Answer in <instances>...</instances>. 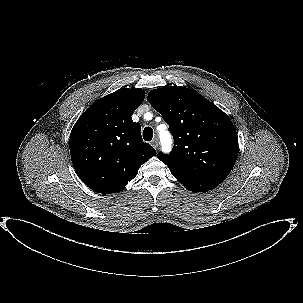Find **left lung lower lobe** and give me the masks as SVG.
Wrapping results in <instances>:
<instances>
[{
  "mask_svg": "<svg viewBox=\"0 0 303 303\" xmlns=\"http://www.w3.org/2000/svg\"><path fill=\"white\" fill-rule=\"evenodd\" d=\"M175 176V175H174ZM188 190L194 192H204L215 188L226 177H207V178H186L175 176Z\"/></svg>",
  "mask_w": 303,
  "mask_h": 303,
  "instance_id": "left-lung-lower-lobe-1",
  "label": "left lung lower lobe"
}]
</instances>
